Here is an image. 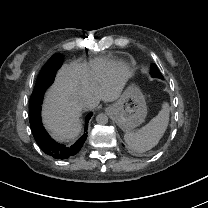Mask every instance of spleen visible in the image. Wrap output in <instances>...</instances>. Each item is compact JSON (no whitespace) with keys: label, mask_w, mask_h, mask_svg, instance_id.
Masks as SVG:
<instances>
[{"label":"spleen","mask_w":208,"mask_h":208,"mask_svg":"<svg viewBox=\"0 0 208 208\" xmlns=\"http://www.w3.org/2000/svg\"><path fill=\"white\" fill-rule=\"evenodd\" d=\"M169 120V108L164 109L149 123L140 129L125 134L124 139L127 145L135 151L144 152L155 146L164 134Z\"/></svg>","instance_id":"spleen-1"}]
</instances>
